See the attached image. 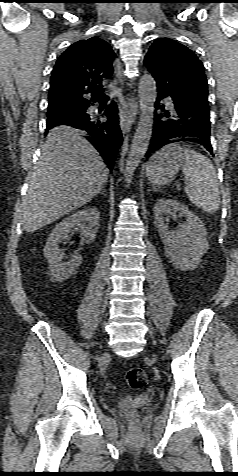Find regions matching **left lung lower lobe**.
I'll use <instances>...</instances> for the list:
<instances>
[{
    "mask_svg": "<svg viewBox=\"0 0 238 476\" xmlns=\"http://www.w3.org/2000/svg\"><path fill=\"white\" fill-rule=\"evenodd\" d=\"M168 96L164 92L158 93L155 103L158 113L154 116L152 137L146 155L150 156L168 144L186 141L202 146L214 156L210 142L209 111L180 105L171 96L173 102L170 107L160 104Z\"/></svg>",
    "mask_w": 238,
    "mask_h": 476,
    "instance_id": "0a47b994",
    "label": "left lung lower lobe"
}]
</instances>
